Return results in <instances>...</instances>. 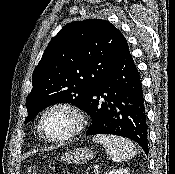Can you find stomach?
Returning <instances> with one entry per match:
<instances>
[{
	"instance_id": "obj_1",
	"label": "stomach",
	"mask_w": 175,
	"mask_h": 174,
	"mask_svg": "<svg viewBox=\"0 0 175 174\" xmlns=\"http://www.w3.org/2000/svg\"><path fill=\"white\" fill-rule=\"evenodd\" d=\"M93 157V151L84 147L75 148L73 151H67L61 155L60 159L65 163L83 164L93 159Z\"/></svg>"
}]
</instances>
